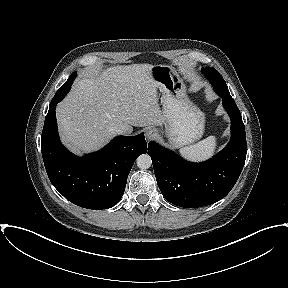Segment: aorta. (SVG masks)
<instances>
[{
	"mask_svg": "<svg viewBox=\"0 0 288 288\" xmlns=\"http://www.w3.org/2000/svg\"><path fill=\"white\" fill-rule=\"evenodd\" d=\"M136 163L138 168H140L141 170H146L151 167L152 160L148 154H142L138 156Z\"/></svg>",
	"mask_w": 288,
	"mask_h": 288,
	"instance_id": "1",
	"label": "aorta"
}]
</instances>
